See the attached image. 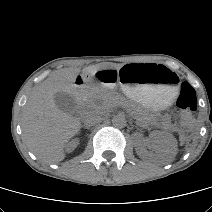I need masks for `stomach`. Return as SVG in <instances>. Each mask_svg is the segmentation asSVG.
Returning <instances> with one entry per match:
<instances>
[{"label": "stomach", "mask_w": 212, "mask_h": 212, "mask_svg": "<svg viewBox=\"0 0 212 212\" xmlns=\"http://www.w3.org/2000/svg\"><path fill=\"white\" fill-rule=\"evenodd\" d=\"M86 77L91 82H105L152 110L167 107L177 95L176 74L160 64H127L107 69L91 67Z\"/></svg>", "instance_id": "1"}]
</instances>
